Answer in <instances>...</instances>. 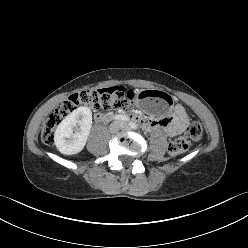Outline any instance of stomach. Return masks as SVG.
<instances>
[{"instance_id": "obj_1", "label": "stomach", "mask_w": 248, "mask_h": 248, "mask_svg": "<svg viewBox=\"0 0 248 248\" xmlns=\"http://www.w3.org/2000/svg\"><path fill=\"white\" fill-rule=\"evenodd\" d=\"M135 104L140 109H147L152 115L162 116L171 111L173 98L166 92L145 89L137 92L135 95Z\"/></svg>"}]
</instances>
